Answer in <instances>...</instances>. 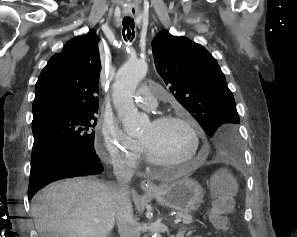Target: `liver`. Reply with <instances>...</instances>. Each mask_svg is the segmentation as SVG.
<instances>
[{
    "label": "liver",
    "mask_w": 297,
    "mask_h": 237,
    "mask_svg": "<svg viewBox=\"0 0 297 237\" xmlns=\"http://www.w3.org/2000/svg\"><path fill=\"white\" fill-rule=\"evenodd\" d=\"M113 190L84 177L50 184L34 196L31 207L37 232L41 237H107L116 220Z\"/></svg>",
    "instance_id": "obj_1"
}]
</instances>
